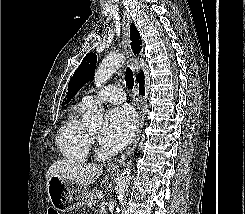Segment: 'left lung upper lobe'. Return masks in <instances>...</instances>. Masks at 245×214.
I'll return each mask as SVG.
<instances>
[{"label": "left lung upper lobe", "instance_id": "left-lung-upper-lobe-1", "mask_svg": "<svg viewBox=\"0 0 245 214\" xmlns=\"http://www.w3.org/2000/svg\"><path fill=\"white\" fill-rule=\"evenodd\" d=\"M96 61L97 57L94 53H89L84 57L79 68L74 72V75L69 81L67 93L65 99L63 100L62 106L68 103L78 92V90L93 78Z\"/></svg>", "mask_w": 245, "mask_h": 214}]
</instances>
